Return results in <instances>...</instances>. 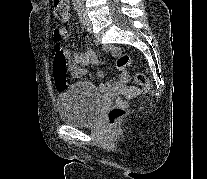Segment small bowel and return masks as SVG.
I'll return each instance as SVG.
<instances>
[{"label":"small bowel","mask_w":207,"mask_h":179,"mask_svg":"<svg viewBox=\"0 0 207 179\" xmlns=\"http://www.w3.org/2000/svg\"><path fill=\"white\" fill-rule=\"evenodd\" d=\"M70 16L71 14H70L69 5H68V9L64 12V14L61 17H59V19L63 22H66L70 19ZM54 32H58L61 35V37H65V38L68 37L66 30L63 28L56 29ZM104 49L110 52L111 55L114 57L121 56V50L117 47L104 46ZM64 55L69 61V70H70L71 75L77 79H82L83 77L87 75V71L84 68L85 66L96 65L99 63L95 52L90 48H87L83 51H79L74 56L71 55L70 51H65ZM97 76L98 78L102 79L104 78V73L102 71H99L97 73ZM129 80H130V76L128 72L122 71L120 74L119 80L117 82L109 81L106 83H101L99 85V89L103 92H110L116 88H124L128 84ZM57 86L59 88L62 87L59 84H57Z\"/></svg>","instance_id":"obj_1"}]
</instances>
